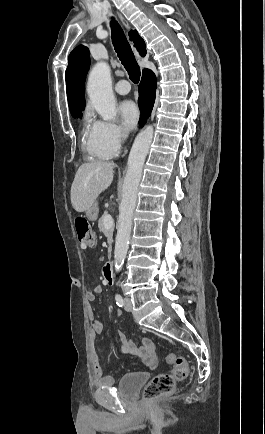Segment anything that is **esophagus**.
Returning a JSON list of instances; mask_svg holds the SVG:
<instances>
[{
	"label": "esophagus",
	"mask_w": 265,
	"mask_h": 434,
	"mask_svg": "<svg viewBox=\"0 0 265 434\" xmlns=\"http://www.w3.org/2000/svg\"><path fill=\"white\" fill-rule=\"evenodd\" d=\"M120 17L121 22L123 23L124 27L129 30L130 29V25L129 22L123 17V15H121V13L118 14ZM134 54L137 58V60H141V57L139 55V53L137 52V50L135 48H133Z\"/></svg>",
	"instance_id": "1"
}]
</instances>
